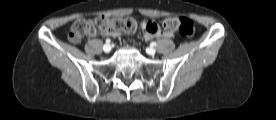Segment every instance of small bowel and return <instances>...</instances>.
<instances>
[{
	"mask_svg": "<svg viewBox=\"0 0 276 120\" xmlns=\"http://www.w3.org/2000/svg\"><path fill=\"white\" fill-rule=\"evenodd\" d=\"M143 29L145 30L144 31V38L146 40H151L153 38H157V37H166V38H170L172 37V34L170 33H166L164 31H161V29H158L156 32L152 33V32H148L146 29H145V23L143 24ZM103 35H109V34H106V33H101ZM116 34L114 35H109V36H115Z\"/></svg>",
	"mask_w": 276,
	"mask_h": 120,
	"instance_id": "small-bowel-1",
	"label": "small bowel"
}]
</instances>
